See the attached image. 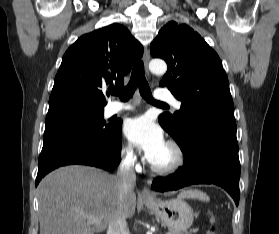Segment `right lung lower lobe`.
<instances>
[{
    "instance_id": "right-lung-lower-lobe-1",
    "label": "right lung lower lobe",
    "mask_w": 279,
    "mask_h": 234,
    "mask_svg": "<svg viewBox=\"0 0 279 234\" xmlns=\"http://www.w3.org/2000/svg\"><path fill=\"white\" fill-rule=\"evenodd\" d=\"M120 153L121 123H114V129L105 138L81 130L44 136L36 186L47 173L64 165L80 164L114 170L120 161Z\"/></svg>"
}]
</instances>
